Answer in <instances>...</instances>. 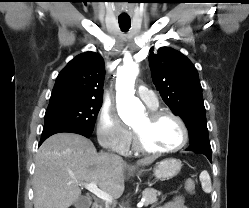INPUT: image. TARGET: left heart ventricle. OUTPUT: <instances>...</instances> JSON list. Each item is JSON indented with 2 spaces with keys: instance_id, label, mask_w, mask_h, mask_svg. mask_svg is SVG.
Wrapping results in <instances>:
<instances>
[{
  "instance_id": "1",
  "label": "left heart ventricle",
  "mask_w": 249,
  "mask_h": 208,
  "mask_svg": "<svg viewBox=\"0 0 249 208\" xmlns=\"http://www.w3.org/2000/svg\"><path fill=\"white\" fill-rule=\"evenodd\" d=\"M133 128L141 134L145 145L152 149L174 148L182 140L179 124L169 117L150 123L145 115L135 123Z\"/></svg>"
}]
</instances>
